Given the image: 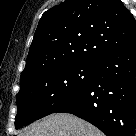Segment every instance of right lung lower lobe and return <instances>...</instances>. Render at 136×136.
Here are the masks:
<instances>
[{"label":"right lung lower lobe","instance_id":"obj_1","mask_svg":"<svg viewBox=\"0 0 136 136\" xmlns=\"http://www.w3.org/2000/svg\"><path fill=\"white\" fill-rule=\"evenodd\" d=\"M53 113L74 114L107 136H135L136 40L101 59L90 84Z\"/></svg>","mask_w":136,"mask_h":136}]
</instances>
